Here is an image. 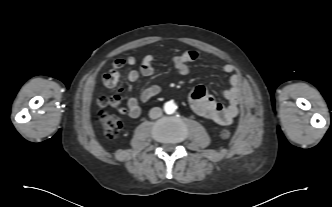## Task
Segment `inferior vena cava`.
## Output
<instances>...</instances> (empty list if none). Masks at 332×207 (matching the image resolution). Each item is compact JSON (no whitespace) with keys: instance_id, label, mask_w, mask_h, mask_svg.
<instances>
[{"instance_id":"obj_1","label":"inferior vena cava","mask_w":332,"mask_h":207,"mask_svg":"<svg viewBox=\"0 0 332 207\" xmlns=\"http://www.w3.org/2000/svg\"><path fill=\"white\" fill-rule=\"evenodd\" d=\"M149 116L151 119H157L162 116V110L159 107H154L150 110Z\"/></svg>"}]
</instances>
